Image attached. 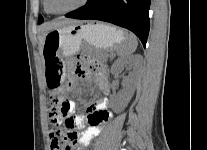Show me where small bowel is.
<instances>
[{
    "instance_id": "c3829d8e",
    "label": "small bowel",
    "mask_w": 207,
    "mask_h": 150,
    "mask_svg": "<svg viewBox=\"0 0 207 150\" xmlns=\"http://www.w3.org/2000/svg\"><path fill=\"white\" fill-rule=\"evenodd\" d=\"M93 70V76L96 84L99 86L103 93H108L109 87L105 70L96 63H88ZM91 72L83 67L78 66L75 70V75L82 78L91 76ZM75 79L71 77L68 82L69 88H74ZM64 99V98H61ZM71 103L70 107H66L68 114L72 121V129L83 130L78 134L77 146L79 148L87 146L93 138L98 136L104 125L112 118V113L108 110V101L106 98L98 100L95 104L87 108L86 114H75V104Z\"/></svg>"
}]
</instances>
